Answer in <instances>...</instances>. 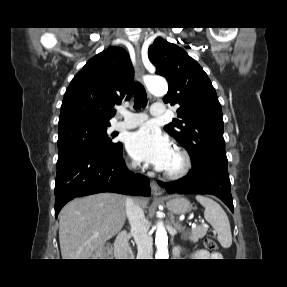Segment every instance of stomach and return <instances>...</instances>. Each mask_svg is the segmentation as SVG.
<instances>
[{
  "label": "stomach",
  "instance_id": "obj_1",
  "mask_svg": "<svg viewBox=\"0 0 287 287\" xmlns=\"http://www.w3.org/2000/svg\"><path fill=\"white\" fill-rule=\"evenodd\" d=\"M166 206L168 210L174 214H184L191 209L190 202L186 198L180 196L168 198Z\"/></svg>",
  "mask_w": 287,
  "mask_h": 287
}]
</instances>
